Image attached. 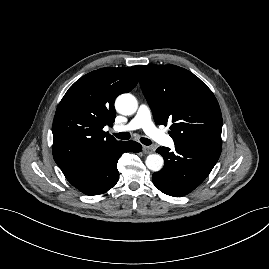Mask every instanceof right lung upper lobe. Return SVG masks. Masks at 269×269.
<instances>
[{
  "label": "right lung upper lobe",
  "instance_id": "obj_1",
  "mask_svg": "<svg viewBox=\"0 0 269 269\" xmlns=\"http://www.w3.org/2000/svg\"><path fill=\"white\" fill-rule=\"evenodd\" d=\"M141 67L98 69L68 89L52 126L53 157L64 175L121 142L102 129L112 126L115 98L137 85Z\"/></svg>",
  "mask_w": 269,
  "mask_h": 269
}]
</instances>
